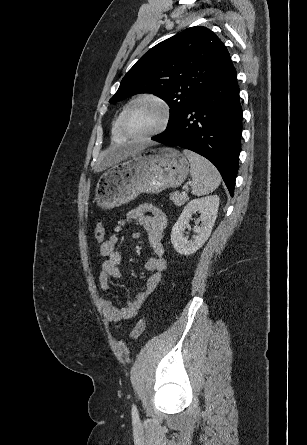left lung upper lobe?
I'll return each mask as SVG.
<instances>
[{
    "label": "left lung upper lobe",
    "instance_id": "obj_1",
    "mask_svg": "<svg viewBox=\"0 0 307 445\" xmlns=\"http://www.w3.org/2000/svg\"><path fill=\"white\" fill-rule=\"evenodd\" d=\"M231 65L226 47L211 30L191 27L145 53L124 76L109 102L152 93L170 107L168 129Z\"/></svg>",
    "mask_w": 307,
    "mask_h": 445
}]
</instances>
